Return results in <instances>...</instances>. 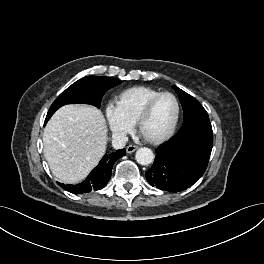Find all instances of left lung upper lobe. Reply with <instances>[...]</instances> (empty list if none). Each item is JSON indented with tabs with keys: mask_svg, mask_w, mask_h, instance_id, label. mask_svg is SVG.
I'll return each instance as SVG.
<instances>
[{
	"mask_svg": "<svg viewBox=\"0 0 264 264\" xmlns=\"http://www.w3.org/2000/svg\"><path fill=\"white\" fill-rule=\"evenodd\" d=\"M174 88L184 111V121L180 131L189 130L198 124L210 122L206 110L194 97L176 86Z\"/></svg>",
	"mask_w": 264,
	"mask_h": 264,
	"instance_id": "1",
	"label": "left lung upper lobe"
}]
</instances>
